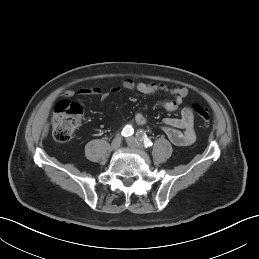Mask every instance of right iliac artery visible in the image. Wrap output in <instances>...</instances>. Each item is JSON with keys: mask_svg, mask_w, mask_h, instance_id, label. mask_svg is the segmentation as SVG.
Here are the masks:
<instances>
[{"mask_svg": "<svg viewBox=\"0 0 259 259\" xmlns=\"http://www.w3.org/2000/svg\"><path fill=\"white\" fill-rule=\"evenodd\" d=\"M134 133V129L132 128L131 125H126L123 130H122V135L124 137L131 136Z\"/></svg>", "mask_w": 259, "mask_h": 259, "instance_id": "82829eb1", "label": "right iliac artery"}]
</instances>
